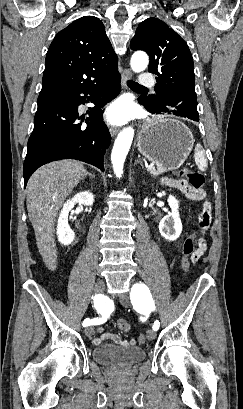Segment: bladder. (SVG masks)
<instances>
[{
    "mask_svg": "<svg viewBox=\"0 0 243 409\" xmlns=\"http://www.w3.org/2000/svg\"><path fill=\"white\" fill-rule=\"evenodd\" d=\"M92 356L96 362L103 365L131 367L143 361L146 352L142 347H122L107 344L95 347Z\"/></svg>",
    "mask_w": 243,
    "mask_h": 409,
    "instance_id": "obj_1",
    "label": "bladder"
}]
</instances>
